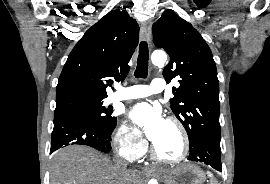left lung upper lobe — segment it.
<instances>
[{
  "label": "left lung upper lobe",
  "mask_w": 270,
  "mask_h": 184,
  "mask_svg": "<svg viewBox=\"0 0 270 184\" xmlns=\"http://www.w3.org/2000/svg\"><path fill=\"white\" fill-rule=\"evenodd\" d=\"M154 44L170 56L163 70L173 88L171 109L185 127L190 146L200 136L221 137L219 124V81L212 52L193 26L167 10L153 24Z\"/></svg>",
  "instance_id": "left-lung-upper-lobe-1"
}]
</instances>
